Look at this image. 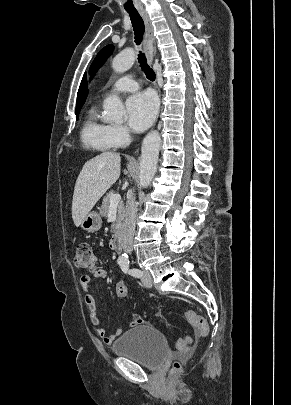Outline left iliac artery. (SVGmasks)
Returning <instances> with one entry per match:
<instances>
[{"label": "left iliac artery", "mask_w": 291, "mask_h": 405, "mask_svg": "<svg viewBox=\"0 0 291 405\" xmlns=\"http://www.w3.org/2000/svg\"><path fill=\"white\" fill-rule=\"evenodd\" d=\"M120 267L124 273H127L133 277H140L142 275V272L139 269H136V268L130 269L129 261H125V262L121 263Z\"/></svg>", "instance_id": "44dca946"}]
</instances>
